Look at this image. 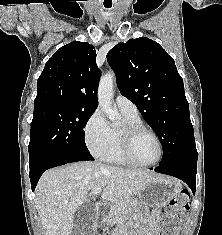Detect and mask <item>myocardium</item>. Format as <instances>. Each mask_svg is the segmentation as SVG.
<instances>
[{"label": "myocardium", "mask_w": 222, "mask_h": 235, "mask_svg": "<svg viewBox=\"0 0 222 235\" xmlns=\"http://www.w3.org/2000/svg\"><path fill=\"white\" fill-rule=\"evenodd\" d=\"M148 133L153 136L159 147L157 159L151 163H140L133 156V145L136 138L142 134ZM119 148L122 158L126 163L141 168H148L157 165L163 158L164 147L162 140L156 132L142 123H125L119 130Z\"/></svg>", "instance_id": "obj_1"}]
</instances>
